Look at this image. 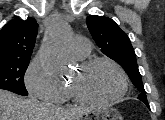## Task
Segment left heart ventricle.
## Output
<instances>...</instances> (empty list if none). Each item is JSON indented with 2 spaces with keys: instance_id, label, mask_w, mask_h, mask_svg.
I'll return each mask as SVG.
<instances>
[{
  "instance_id": "b2bd125f",
  "label": "left heart ventricle",
  "mask_w": 165,
  "mask_h": 120,
  "mask_svg": "<svg viewBox=\"0 0 165 120\" xmlns=\"http://www.w3.org/2000/svg\"><path fill=\"white\" fill-rule=\"evenodd\" d=\"M71 84L78 85L84 93L98 99L112 97L122 87L119 73L107 64L97 65L86 73L78 70Z\"/></svg>"
}]
</instances>
